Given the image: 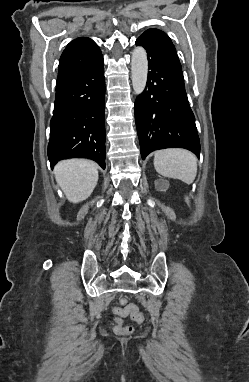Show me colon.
I'll use <instances>...</instances> for the list:
<instances>
[{"label": "colon", "instance_id": "colon-1", "mask_svg": "<svg viewBox=\"0 0 249 382\" xmlns=\"http://www.w3.org/2000/svg\"><path fill=\"white\" fill-rule=\"evenodd\" d=\"M121 306L114 308L113 313L117 317H123L128 314H130L132 320H134L137 323L144 322V316L139 311L138 307L135 304H130L126 299H121ZM132 331V327L125 326L122 324L121 319H116V326H115V332L118 334H128Z\"/></svg>", "mask_w": 249, "mask_h": 382}]
</instances>
